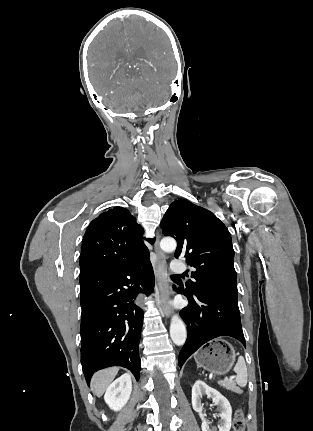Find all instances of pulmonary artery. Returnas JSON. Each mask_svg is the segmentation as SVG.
<instances>
[{
    "label": "pulmonary artery",
    "instance_id": "1",
    "mask_svg": "<svg viewBox=\"0 0 313 431\" xmlns=\"http://www.w3.org/2000/svg\"><path fill=\"white\" fill-rule=\"evenodd\" d=\"M171 269L175 273H183L186 269L185 264L181 260H174L171 264Z\"/></svg>",
    "mask_w": 313,
    "mask_h": 431
}]
</instances>
